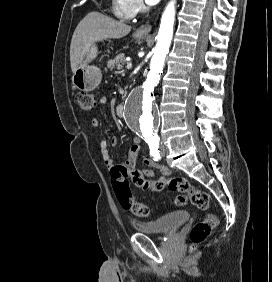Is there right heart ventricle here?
Segmentation results:
<instances>
[{
	"mask_svg": "<svg viewBox=\"0 0 272 282\" xmlns=\"http://www.w3.org/2000/svg\"><path fill=\"white\" fill-rule=\"evenodd\" d=\"M113 11L114 14L122 19V20H128L130 16L125 13V5H126V0H113Z\"/></svg>",
	"mask_w": 272,
	"mask_h": 282,
	"instance_id": "right-heart-ventricle-1",
	"label": "right heart ventricle"
}]
</instances>
